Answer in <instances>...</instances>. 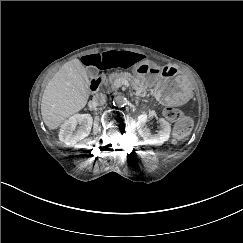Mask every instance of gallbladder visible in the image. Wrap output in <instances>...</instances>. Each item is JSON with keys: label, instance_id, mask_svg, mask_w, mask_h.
<instances>
[{"label": "gallbladder", "instance_id": "obj_1", "mask_svg": "<svg viewBox=\"0 0 243 243\" xmlns=\"http://www.w3.org/2000/svg\"><path fill=\"white\" fill-rule=\"evenodd\" d=\"M85 72H86L87 75L93 77V76L97 75L99 71H98L97 68L90 65V66L87 67Z\"/></svg>", "mask_w": 243, "mask_h": 243}]
</instances>
